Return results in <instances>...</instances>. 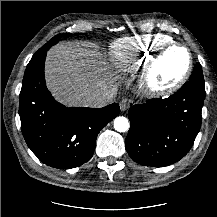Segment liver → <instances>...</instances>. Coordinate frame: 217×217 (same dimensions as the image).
Listing matches in <instances>:
<instances>
[{"mask_svg": "<svg viewBox=\"0 0 217 217\" xmlns=\"http://www.w3.org/2000/svg\"><path fill=\"white\" fill-rule=\"evenodd\" d=\"M45 79L53 96L67 106H86L84 98L114 89L119 79L89 43L61 42L47 53Z\"/></svg>", "mask_w": 217, "mask_h": 217, "instance_id": "liver-1", "label": "liver"}]
</instances>
